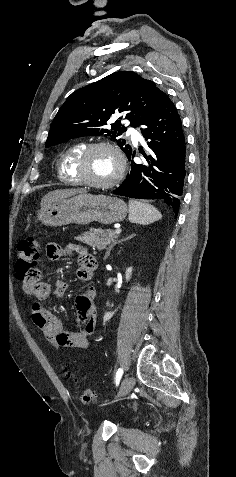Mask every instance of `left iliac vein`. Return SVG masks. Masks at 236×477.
Returning a JSON list of instances; mask_svg holds the SVG:
<instances>
[{
  "instance_id": "4c4485c4",
  "label": "left iliac vein",
  "mask_w": 236,
  "mask_h": 477,
  "mask_svg": "<svg viewBox=\"0 0 236 477\" xmlns=\"http://www.w3.org/2000/svg\"><path fill=\"white\" fill-rule=\"evenodd\" d=\"M135 384V380L133 377L129 376V377H126L122 384H121V387H120V396L123 397L125 395H127L133 388Z\"/></svg>"
}]
</instances>
